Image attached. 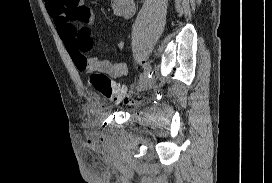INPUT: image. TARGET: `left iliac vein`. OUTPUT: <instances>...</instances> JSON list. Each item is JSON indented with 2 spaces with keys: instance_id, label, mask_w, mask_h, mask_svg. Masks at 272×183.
<instances>
[{
  "instance_id": "left-iliac-vein-1",
  "label": "left iliac vein",
  "mask_w": 272,
  "mask_h": 183,
  "mask_svg": "<svg viewBox=\"0 0 272 183\" xmlns=\"http://www.w3.org/2000/svg\"><path fill=\"white\" fill-rule=\"evenodd\" d=\"M155 85V79L154 77L148 78L143 82V86L141 87L140 90H147L152 88Z\"/></svg>"
}]
</instances>
